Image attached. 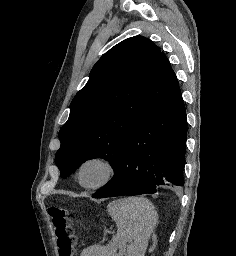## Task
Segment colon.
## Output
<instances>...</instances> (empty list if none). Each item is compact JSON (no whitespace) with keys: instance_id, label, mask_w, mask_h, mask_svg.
Wrapping results in <instances>:
<instances>
[{"instance_id":"obj_1","label":"colon","mask_w":236,"mask_h":256,"mask_svg":"<svg viewBox=\"0 0 236 256\" xmlns=\"http://www.w3.org/2000/svg\"><path fill=\"white\" fill-rule=\"evenodd\" d=\"M48 215L56 240L58 256H73L75 236L68 222V211L61 206H51Z\"/></svg>"}]
</instances>
